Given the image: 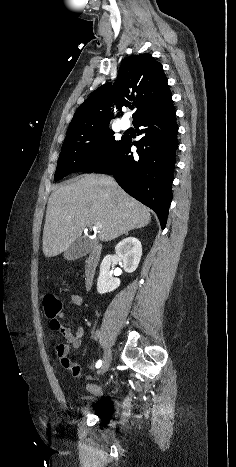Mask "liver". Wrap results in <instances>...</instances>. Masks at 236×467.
Wrapping results in <instances>:
<instances>
[{
	"label": "liver",
	"instance_id": "obj_1",
	"mask_svg": "<svg viewBox=\"0 0 236 467\" xmlns=\"http://www.w3.org/2000/svg\"><path fill=\"white\" fill-rule=\"evenodd\" d=\"M150 210L109 176L87 174L56 188L48 200L43 253L54 257L78 239L86 227L101 223L99 239L111 241L145 227Z\"/></svg>",
	"mask_w": 236,
	"mask_h": 467
}]
</instances>
